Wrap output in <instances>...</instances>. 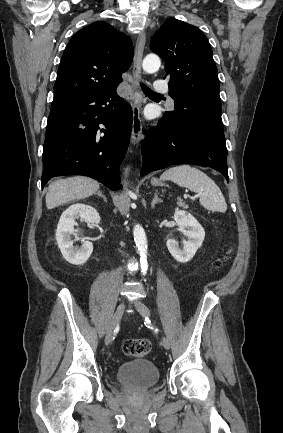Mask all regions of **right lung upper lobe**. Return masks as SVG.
Instances as JSON below:
<instances>
[{
  "instance_id": "obj_1",
  "label": "right lung upper lobe",
  "mask_w": 283,
  "mask_h": 433,
  "mask_svg": "<svg viewBox=\"0 0 283 433\" xmlns=\"http://www.w3.org/2000/svg\"><path fill=\"white\" fill-rule=\"evenodd\" d=\"M132 58L131 39L110 24L99 21L84 27L63 53L52 106L117 88Z\"/></svg>"
}]
</instances>
